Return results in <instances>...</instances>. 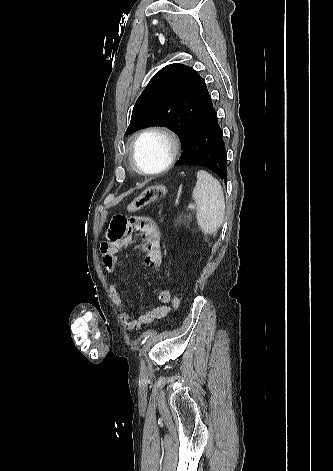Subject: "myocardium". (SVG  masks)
<instances>
[{"instance_id":"1","label":"myocardium","mask_w":333,"mask_h":471,"mask_svg":"<svg viewBox=\"0 0 333 471\" xmlns=\"http://www.w3.org/2000/svg\"><path fill=\"white\" fill-rule=\"evenodd\" d=\"M149 134H159L163 136L169 144V154L165 163L160 168L151 170V171L142 168L136 160L137 144L143 137ZM179 149H180L179 139L172 130L161 125H151L142 129L134 136L131 142L130 152H129L130 162L132 166L141 174L149 175V176L158 175L166 171L173 164V162L175 161L179 153Z\"/></svg>"}]
</instances>
